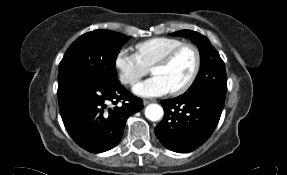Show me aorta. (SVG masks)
<instances>
[{
	"label": "aorta",
	"mask_w": 287,
	"mask_h": 175,
	"mask_svg": "<svg viewBox=\"0 0 287 175\" xmlns=\"http://www.w3.org/2000/svg\"><path fill=\"white\" fill-rule=\"evenodd\" d=\"M145 116L151 121H158L163 116V108L158 104H149L145 108Z\"/></svg>",
	"instance_id": "762f6f07"
}]
</instances>
